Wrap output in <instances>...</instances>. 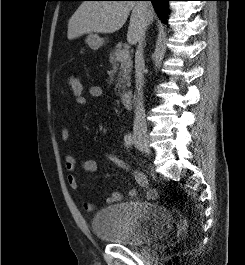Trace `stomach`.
<instances>
[{
  "label": "stomach",
  "instance_id": "0dacf381",
  "mask_svg": "<svg viewBox=\"0 0 245 265\" xmlns=\"http://www.w3.org/2000/svg\"><path fill=\"white\" fill-rule=\"evenodd\" d=\"M85 41L88 46L94 51L98 50L105 43L104 39L100 38L98 35L93 33H90Z\"/></svg>",
  "mask_w": 245,
  "mask_h": 265
}]
</instances>
